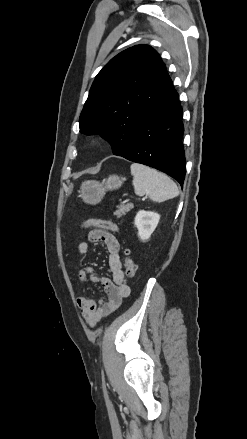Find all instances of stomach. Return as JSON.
I'll return each mask as SVG.
<instances>
[{"instance_id": "1", "label": "stomach", "mask_w": 247, "mask_h": 439, "mask_svg": "<svg viewBox=\"0 0 247 439\" xmlns=\"http://www.w3.org/2000/svg\"><path fill=\"white\" fill-rule=\"evenodd\" d=\"M123 184V179L117 175H111L106 181L98 182L94 180L82 183L79 190V197L87 204H98L101 202L106 192L119 189Z\"/></svg>"}]
</instances>
